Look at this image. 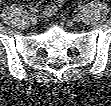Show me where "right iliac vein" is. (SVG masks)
Listing matches in <instances>:
<instances>
[{"label": "right iliac vein", "mask_w": 111, "mask_h": 106, "mask_svg": "<svg viewBox=\"0 0 111 106\" xmlns=\"http://www.w3.org/2000/svg\"><path fill=\"white\" fill-rule=\"evenodd\" d=\"M30 23L32 25H35L37 23V16L36 15H31V17H30Z\"/></svg>", "instance_id": "1"}]
</instances>
